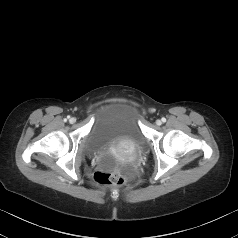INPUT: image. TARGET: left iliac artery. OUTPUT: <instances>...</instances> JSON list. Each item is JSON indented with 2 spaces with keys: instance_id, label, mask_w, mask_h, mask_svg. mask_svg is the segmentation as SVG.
I'll return each instance as SVG.
<instances>
[{
  "instance_id": "obj_1",
  "label": "left iliac artery",
  "mask_w": 238,
  "mask_h": 238,
  "mask_svg": "<svg viewBox=\"0 0 238 238\" xmlns=\"http://www.w3.org/2000/svg\"><path fill=\"white\" fill-rule=\"evenodd\" d=\"M162 122H166V118L163 117V118H162Z\"/></svg>"
}]
</instances>
